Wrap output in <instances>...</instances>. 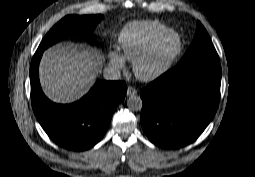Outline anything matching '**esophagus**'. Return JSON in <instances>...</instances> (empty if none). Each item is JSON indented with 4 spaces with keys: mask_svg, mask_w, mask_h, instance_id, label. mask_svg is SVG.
<instances>
[{
    "mask_svg": "<svg viewBox=\"0 0 255 177\" xmlns=\"http://www.w3.org/2000/svg\"><path fill=\"white\" fill-rule=\"evenodd\" d=\"M137 94V90L131 86L127 89V95L128 96H135Z\"/></svg>",
    "mask_w": 255,
    "mask_h": 177,
    "instance_id": "1",
    "label": "esophagus"
}]
</instances>
